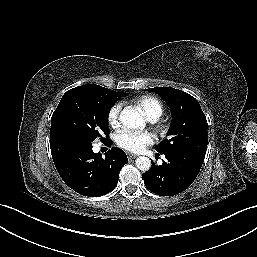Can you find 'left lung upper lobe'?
Instances as JSON below:
<instances>
[{
  "instance_id": "5c2ea615",
  "label": "left lung upper lobe",
  "mask_w": 257,
  "mask_h": 257,
  "mask_svg": "<svg viewBox=\"0 0 257 257\" xmlns=\"http://www.w3.org/2000/svg\"><path fill=\"white\" fill-rule=\"evenodd\" d=\"M147 90L160 94L172 112L168 138L155 149L161 154L184 152L205 157L208 125L198 101L190 94L171 87Z\"/></svg>"
}]
</instances>
